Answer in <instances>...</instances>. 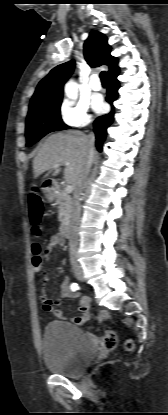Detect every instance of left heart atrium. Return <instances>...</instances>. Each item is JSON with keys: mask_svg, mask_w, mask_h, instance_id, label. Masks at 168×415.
<instances>
[{"mask_svg": "<svg viewBox=\"0 0 168 415\" xmlns=\"http://www.w3.org/2000/svg\"><path fill=\"white\" fill-rule=\"evenodd\" d=\"M93 107L97 112L101 113V112L105 111L106 104L104 103V101L100 97H98V98L94 99Z\"/></svg>", "mask_w": 168, "mask_h": 415, "instance_id": "obj_1", "label": "left heart atrium"}]
</instances>
